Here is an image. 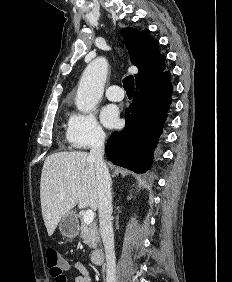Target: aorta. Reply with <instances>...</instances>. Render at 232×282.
I'll list each match as a JSON object with an SVG mask.
<instances>
[{
    "label": "aorta",
    "instance_id": "aorta-1",
    "mask_svg": "<svg viewBox=\"0 0 232 282\" xmlns=\"http://www.w3.org/2000/svg\"><path fill=\"white\" fill-rule=\"evenodd\" d=\"M108 72V62L98 57L85 68L79 82L76 106L81 112L92 111L102 97Z\"/></svg>",
    "mask_w": 232,
    "mask_h": 282
}]
</instances>
